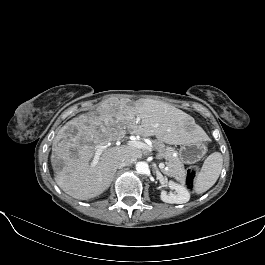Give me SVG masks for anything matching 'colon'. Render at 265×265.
<instances>
[{
  "label": "colon",
  "mask_w": 265,
  "mask_h": 265,
  "mask_svg": "<svg viewBox=\"0 0 265 265\" xmlns=\"http://www.w3.org/2000/svg\"><path fill=\"white\" fill-rule=\"evenodd\" d=\"M198 171H199V168L197 166H191L186 171L185 184L189 190H192L194 188V183H195V179L198 174Z\"/></svg>",
  "instance_id": "1"
}]
</instances>
